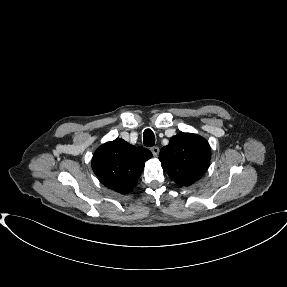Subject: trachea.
<instances>
[{"label":"trachea","instance_id":"trachea-1","mask_svg":"<svg viewBox=\"0 0 287 287\" xmlns=\"http://www.w3.org/2000/svg\"><path fill=\"white\" fill-rule=\"evenodd\" d=\"M143 142L147 147H152L155 144V136L151 129H146L143 133Z\"/></svg>","mask_w":287,"mask_h":287}]
</instances>
